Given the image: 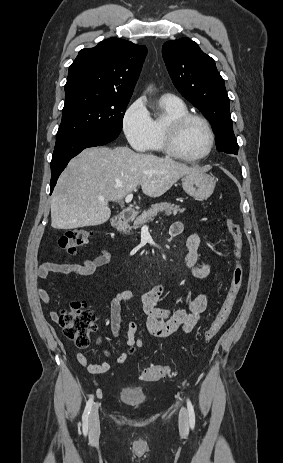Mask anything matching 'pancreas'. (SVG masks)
<instances>
[{
  "label": "pancreas",
  "instance_id": "cf45deb5",
  "mask_svg": "<svg viewBox=\"0 0 283 463\" xmlns=\"http://www.w3.org/2000/svg\"><path fill=\"white\" fill-rule=\"evenodd\" d=\"M184 211L185 209L180 208L178 205L167 202L156 203L153 204L150 209L137 216L132 226L130 224H123L119 230L124 234H130L132 229H137L145 223L153 220L159 213L164 212L167 216H176L178 213H183Z\"/></svg>",
  "mask_w": 283,
  "mask_h": 463
}]
</instances>
